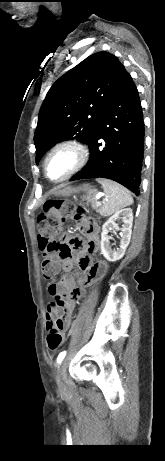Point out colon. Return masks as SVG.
<instances>
[{
	"label": "colon",
	"mask_w": 165,
	"mask_h": 461,
	"mask_svg": "<svg viewBox=\"0 0 165 461\" xmlns=\"http://www.w3.org/2000/svg\"><path fill=\"white\" fill-rule=\"evenodd\" d=\"M75 210L73 203L66 200H49L44 204V213L38 219L39 246L46 252L42 263L43 277L53 280L56 275L50 255L59 254V251H72L74 245H66V242L57 239L59 228L67 215ZM100 264V262H97ZM47 325V324H46ZM49 331L47 343L50 350H57L64 343L62 334V319L56 317L47 325Z\"/></svg>",
	"instance_id": "5ec220e1"
}]
</instances>
